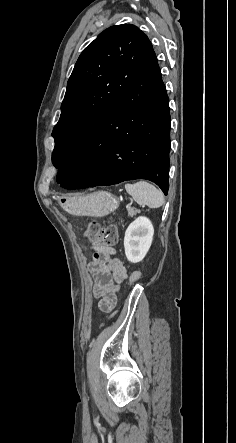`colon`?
<instances>
[{"instance_id":"1","label":"colon","mask_w":236,"mask_h":443,"mask_svg":"<svg viewBox=\"0 0 236 443\" xmlns=\"http://www.w3.org/2000/svg\"><path fill=\"white\" fill-rule=\"evenodd\" d=\"M117 234V225L113 220H110L105 227H101L98 222H90L86 230V237L94 247L115 244ZM140 276V272H134L130 278V283L137 281Z\"/></svg>"}]
</instances>
